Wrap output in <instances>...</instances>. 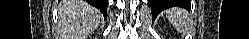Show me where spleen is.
I'll return each mask as SVG.
<instances>
[{"mask_svg":"<svg viewBox=\"0 0 249 39\" xmlns=\"http://www.w3.org/2000/svg\"><path fill=\"white\" fill-rule=\"evenodd\" d=\"M166 17L170 22L178 24L185 17V13L178 8H172L166 11Z\"/></svg>","mask_w":249,"mask_h":39,"instance_id":"spleen-1","label":"spleen"}]
</instances>
